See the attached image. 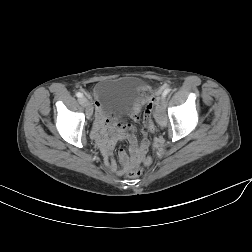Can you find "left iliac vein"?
<instances>
[{
    "mask_svg": "<svg viewBox=\"0 0 252 252\" xmlns=\"http://www.w3.org/2000/svg\"><path fill=\"white\" fill-rule=\"evenodd\" d=\"M165 105H166L165 97L159 98V101H158L159 110H158V112L156 114L157 119L159 121H161L163 119V117H164L163 111L165 109Z\"/></svg>",
    "mask_w": 252,
    "mask_h": 252,
    "instance_id": "obj_1",
    "label": "left iliac vein"
}]
</instances>
